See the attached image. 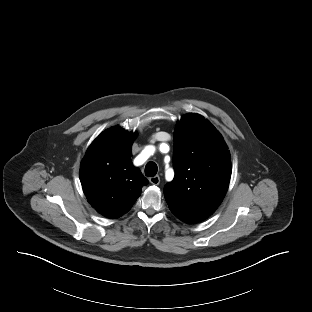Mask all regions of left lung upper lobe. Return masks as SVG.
Masks as SVG:
<instances>
[{"label":"left lung upper lobe","mask_w":312,"mask_h":312,"mask_svg":"<svg viewBox=\"0 0 312 312\" xmlns=\"http://www.w3.org/2000/svg\"><path fill=\"white\" fill-rule=\"evenodd\" d=\"M175 177L164 187L171 212L186 223L211 215L231 177V158L222 135L203 116L186 114L174 130Z\"/></svg>","instance_id":"1"}]
</instances>
